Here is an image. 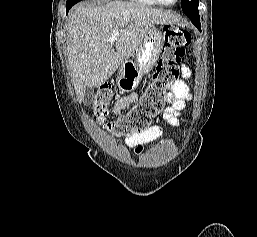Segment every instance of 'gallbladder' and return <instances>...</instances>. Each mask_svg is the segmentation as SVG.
<instances>
[{
	"instance_id": "1",
	"label": "gallbladder",
	"mask_w": 257,
	"mask_h": 237,
	"mask_svg": "<svg viewBox=\"0 0 257 237\" xmlns=\"http://www.w3.org/2000/svg\"><path fill=\"white\" fill-rule=\"evenodd\" d=\"M93 97V91L91 87L85 88L84 99L86 102H90Z\"/></svg>"
}]
</instances>
